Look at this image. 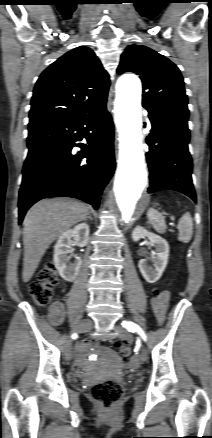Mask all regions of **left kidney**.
<instances>
[{
  "instance_id": "obj_1",
  "label": "left kidney",
  "mask_w": 212,
  "mask_h": 438,
  "mask_svg": "<svg viewBox=\"0 0 212 438\" xmlns=\"http://www.w3.org/2000/svg\"><path fill=\"white\" fill-rule=\"evenodd\" d=\"M144 237L149 238L152 246L155 247V253L153 257L154 268L149 267L144 259L139 261L138 267L142 276L147 282L155 283L160 279L163 271L166 268L169 257V245L161 236L149 232L142 226H136L132 232L133 241L137 242Z\"/></svg>"
}]
</instances>
